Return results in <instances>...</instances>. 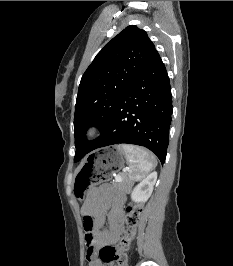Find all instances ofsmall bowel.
<instances>
[{
    "mask_svg": "<svg viewBox=\"0 0 233 266\" xmlns=\"http://www.w3.org/2000/svg\"><path fill=\"white\" fill-rule=\"evenodd\" d=\"M123 204L124 196L109 186L93 189L87 198L83 214L92 219L91 228L84 227L88 266H104L97 259V253L100 248L116 243L123 232Z\"/></svg>",
    "mask_w": 233,
    "mask_h": 266,
    "instance_id": "c3829d8e",
    "label": "small bowel"
}]
</instances>
